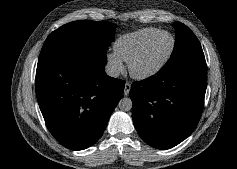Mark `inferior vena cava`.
Listing matches in <instances>:
<instances>
[{
	"mask_svg": "<svg viewBox=\"0 0 237 169\" xmlns=\"http://www.w3.org/2000/svg\"><path fill=\"white\" fill-rule=\"evenodd\" d=\"M105 72L108 76L114 77V78H117L120 75L119 70L115 66L110 65V64L105 66Z\"/></svg>",
	"mask_w": 237,
	"mask_h": 169,
	"instance_id": "1",
	"label": "inferior vena cava"
}]
</instances>
